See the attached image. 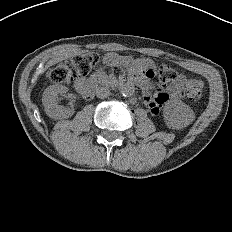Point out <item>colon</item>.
<instances>
[{
  "label": "colon",
  "instance_id": "1",
  "mask_svg": "<svg viewBox=\"0 0 232 232\" xmlns=\"http://www.w3.org/2000/svg\"><path fill=\"white\" fill-rule=\"evenodd\" d=\"M99 57L93 53L77 55L56 66L50 78L54 83H68L86 76L94 69ZM177 79L175 71L168 65L162 64L158 68V81L162 87H167ZM187 97L191 101H198L203 95V84L198 80H190L186 86Z\"/></svg>",
  "mask_w": 232,
  "mask_h": 232
}]
</instances>
